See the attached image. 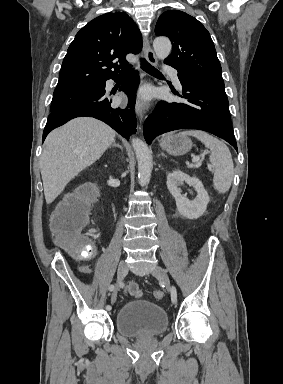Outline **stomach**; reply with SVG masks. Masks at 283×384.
I'll list each match as a JSON object with an SVG mask.
<instances>
[{"mask_svg":"<svg viewBox=\"0 0 283 384\" xmlns=\"http://www.w3.org/2000/svg\"><path fill=\"white\" fill-rule=\"evenodd\" d=\"M162 150H166L172 156H183L192 148V142L186 136L179 134H166L160 144Z\"/></svg>","mask_w":283,"mask_h":384,"instance_id":"1","label":"stomach"}]
</instances>
